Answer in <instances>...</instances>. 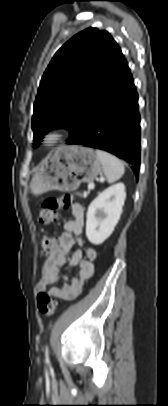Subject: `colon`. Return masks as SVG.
I'll list each match as a JSON object with an SVG mask.
<instances>
[{
    "instance_id": "obj_1",
    "label": "colon",
    "mask_w": 168,
    "mask_h": 406,
    "mask_svg": "<svg viewBox=\"0 0 168 406\" xmlns=\"http://www.w3.org/2000/svg\"><path fill=\"white\" fill-rule=\"evenodd\" d=\"M71 200L72 196L69 194L47 198L39 210V221L43 224L55 222L59 218L60 210L68 206ZM56 247L57 240L54 237L50 235L41 237L40 248L42 257H50ZM37 308L41 314L51 316L56 311V303L49 294L40 292L37 296Z\"/></svg>"
}]
</instances>
